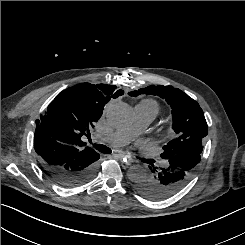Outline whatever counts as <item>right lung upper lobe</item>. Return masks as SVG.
Listing matches in <instances>:
<instances>
[{
	"instance_id": "cb5924a9",
	"label": "right lung upper lobe",
	"mask_w": 245,
	"mask_h": 245,
	"mask_svg": "<svg viewBox=\"0 0 245 245\" xmlns=\"http://www.w3.org/2000/svg\"><path fill=\"white\" fill-rule=\"evenodd\" d=\"M124 92L117 86L80 83L60 92L36 121L34 147L39 161L48 166L98 153L81 140L90 134L111 98Z\"/></svg>"
}]
</instances>
